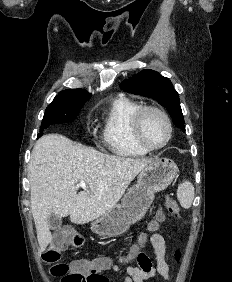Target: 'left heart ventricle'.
<instances>
[{
    "mask_svg": "<svg viewBox=\"0 0 232 282\" xmlns=\"http://www.w3.org/2000/svg\"><path fill=\"white\" fill-rule=\"evenodd\" d=\"M142 133L149 144L157 146L166 140L168 128L159 114L148 112L143 119Z\"/></svg>",
    "mask_w": 232,
    "mask_h": 282,
    "instance_id": "obj_1",
    "label": "left heart ventricle"
}]
</instances>
